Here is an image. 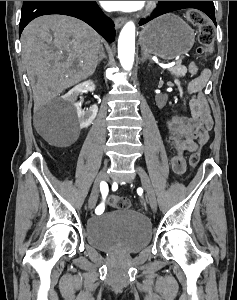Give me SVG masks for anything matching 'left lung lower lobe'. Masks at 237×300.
<instances>
[{
  "instance_id": "1",
  "label": "left lung lower lobe",
  "mask_w": 237,
  "mask_h": 300,
  "mask_svg": "<svg viewBox=\"0 0 237 300\" xmlns=\"http://www.w3.org/2000/svg\"><path fill=\"white\" fill-rule=\"evenodd\" d=\"M166 6L168 8L165 13L172 12L175 10H180V9H186V8H195L201 10L205 14H207L216 25L213 1H168V3H166Z\"/></svg>"
}]
</instances>
